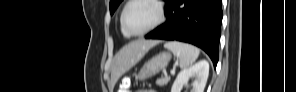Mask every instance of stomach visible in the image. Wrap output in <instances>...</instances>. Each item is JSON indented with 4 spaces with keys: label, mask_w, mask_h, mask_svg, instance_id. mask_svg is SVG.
<instances>
[{
    "label": "stomach",
    "mask_w": 296,
    "mask_h": 92,
    "mask_svg": "<svg viewBox=\"0 0 296 92\" xmlns=\"http://www.w3.org/2000/svg\"><path fill=\"white\" fill-rule=\"evenodd\" d=\"M170 59H171V54L168 52H161L155 55L143 65L138 75L136 76V79L145 80L159 73L161 70L166 68Z\"/></svg>",
    "instance_id": "1"
}]
</instances>
